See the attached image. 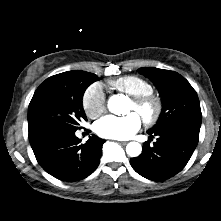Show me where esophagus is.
<instances>
[{
  "mask_svg": "<svg viewBox=\"0 0 221 221\" xmlns=\"http://www.w3.org/2000/svg\"><path fill=\"white\" fill-rule=\"evenodd\" d=\"M120 144H122V145H126L127 142H125V141H121Z\"/></svg>",
  "mask_w": 221,
  "mask_h": 221,
  "instance_id": "1",
  "label": "esophagus"
}]
</instances>
